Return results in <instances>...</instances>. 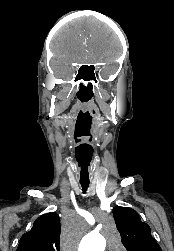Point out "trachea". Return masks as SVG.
Listing matches in <instances>:
<instances>
[{"label":"trachea","mask_w":174,"mask_h":251,"mask_svg":"<svg viewBox=\"0 0 174 251\" xmlns=\"http://www.w3.org/2000/svg\"><path fill=\"white\" fill-rule=\"evenodd\" d=\"M80 184H81V186H82V190H83V192L85 193L86 192V190H87V188H88V186H89V182H80Z\"/></svg>","instance_id":"3493384b"}]
</instances>
